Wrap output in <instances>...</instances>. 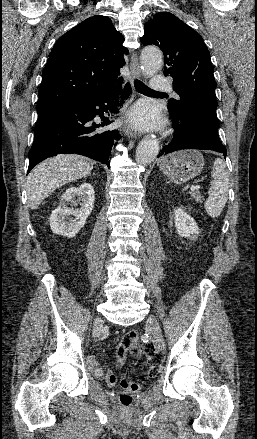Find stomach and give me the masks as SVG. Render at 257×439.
I'll use <instances>...</instances> for the list:
<instances>
[{"label":"stomach","mask_w":257,"mask_h":439,"mask_svg":"<svg viewBox=\"0 0 257 439\" xmlns=\"http://www.w3.org/2000/svg\"><path fill=\"white\" fill-rule=\"evenodd\" d=\"M161 171L174 183H185L199 175L204 167V158L196 150H180L159 161Z\"/></svg>","instance_id":"obj_1"}]
</instances>
